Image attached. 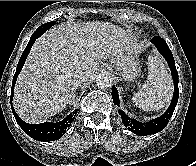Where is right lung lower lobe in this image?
<instances>
[{"label": "right lung lower lobe", "instance_id": "1", "mask_svg": "<svg viewBox=\"0 0 196 166\" xmlns=\"http://www.w3.org/2000/svg\"><path fill=\"white\" fill-rule=\"evenodd\" d=\"M40 36L41 35L33 34L24 52L21 55V58L17 65L15 75L13 77L12 91H11V98H10L11 102H12V98L14 94V86L17 80V76L19 75L25 63V60L30 52L32 45L34 44L35 40ZM11 108L15 116V119L17 123L19 124V126L22 128V130L26 134H28L30 137H32L33 139L39 140V141H54V140L61 138L66 132L67 128L70 127L71 123L73 122L75 118V114L77 113V110H75L73 111V113L65 117L62 121H59L56 123L45 122V123H40V124H29L19 118V116L14 111L13 106H11Z\"/></svg>", "mask_w": 196, "mask_h": 166}]
</instances>
